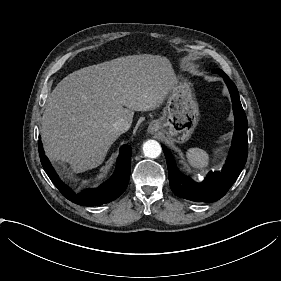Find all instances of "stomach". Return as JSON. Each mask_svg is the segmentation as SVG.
Masks as SVG:
<instances>
[{"instance_id":"0dacf381","label":"stomach","mask_w":281,"mask_h":281,"mask_svg":"<svg viewBox=\"0 0 281 281\" xmlns=\"http://www.w3.org/2000/svg\"><path fill=\"white\" fill-rule=\"evenodd\" d=\"M198 120L199 107L192 84L183 79L171 91L162 117L156 120V125L150 124L149 127L161 132L167 142L183 143L190 138Z\"/></svg>"}]
</instances>
